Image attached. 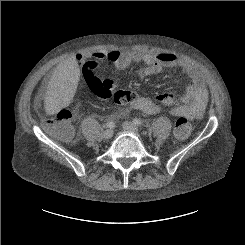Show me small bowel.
<instances>
[{
    "label": "small bowel",
    "instance_id": "1",
    "mask_svg": "<svg viewBox=\"0 0 245 245\" xmlns=\"http://www.w3.org/2000/svg\"><path fill=\"white\" fill-rule=\"evenodd\" d=\"M91 56L97 60L111 61L117 70H123L131 63H143L146 67L142 70L143 76H153L162 71L163 68H181L190 78L191 84L181 96V104L162 107L152 99L145 96H137L130 104V108L141 111L148 115L156 114L160 111H167L173 116H185L190 119L199 118L208 102V93L204 85L202 76L197 69L188 62L170 53H149L145 51H127L115 49L110 51L96 50ZM77 61L73 58L65 60L57 69L60 73L67 70L76 69ZM87 76V75H86ZM108 90L115 86L111 81H104Z\"/></svg>",
    "mask_w": 245,
    "mask_h": 245
}]
</instances>
